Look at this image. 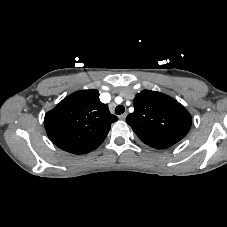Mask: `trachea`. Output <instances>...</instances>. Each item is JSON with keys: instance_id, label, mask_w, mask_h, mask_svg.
<instances>
[{"instance_id": "3493384b", "label": "trachea", "mask_w": 227, "mask_h": 227, "mask_svg": "<svg viewBox=\"0 0 227 227\" xmlns=\"http://www.w3.org/2000/svg\"><path fill=\"white\" fill-rule=\"evenodd\" d=\"M125 111V107L123 105H118L116 108H115V113L117 115H121L123 114Z\"/></svg>"}]
</instances>
